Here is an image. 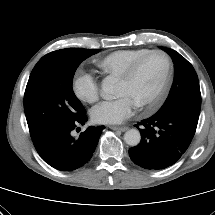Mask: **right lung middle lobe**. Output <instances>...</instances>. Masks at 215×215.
<instances>
[{
	"label": "right lung middle lobe",
	"instance_id": "right-lung-middle-lobe-1",
	"mask_svg": "<svg viewBox=\"0 0 215 215\" xmlns=\"http://www.w3.org/2000/svg\"><path fill=\"white\" fill-rule=\"evenodd\" d=\"M99 51L61 49L48 53L35 65L24 94V110L33 141L84 113L72 90V80L79 64Z\"/></svg>",
	"mask_w": 215,
	"mask_h": 215
}]
</instances>
